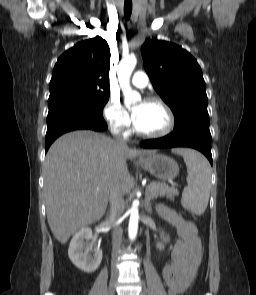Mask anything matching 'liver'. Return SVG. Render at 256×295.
<instances>
[{
  "instance_id": "1",
  "label": "liver",
  "mask_w": 256,
  "mask_h": 295,
  "mask_svg": "<svg viewBox=\"0 0 256 295\" xmlns=\"http://www.w3.org/2000/svg\"><path fill=\"white\" fill-rule=\"evenodd\" d=\"M154 153L122 147L89 130L59 137L43 165L47 220L55 238L65 244L79 229L102 218L112 182L118 180L124 194L132 187L127 159Z\"/></svg>"
}]
</instances>
